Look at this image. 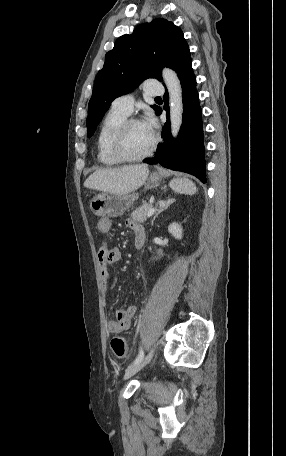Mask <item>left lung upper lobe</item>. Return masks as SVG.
I'll use <instances>...</instances> for the list:
<instances>
[{"instance_id": "1", "label": "left lung upper lobe", "mask_w": 286, "mask_h": 456, "mask_svg": "<svg viewBox=\"0 0 286 456\" xmlns=\"http://www.w3.org/2000/svg\"><path fill=\"white\" fill-rule=\"evenodd\" d=\"M190 50L182 30L166 19L144 23L130 35L119 37L106 53L88 105L87 130L91 137L111 102L147 78L162 81L161 69L176 72L190 61ZM157 112L159 107L152 106Z\"/></svg>"}]
</instances>
